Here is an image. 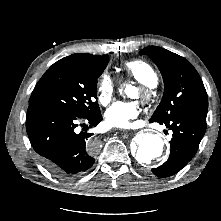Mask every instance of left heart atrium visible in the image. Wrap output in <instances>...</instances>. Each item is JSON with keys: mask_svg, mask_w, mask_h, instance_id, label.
Returning a JSON list of instances; mask_svg holds the SVG:
<instances>
[{"mask_svg": "<svg viewBox=\"0 0 221 221\" xmlns=\"http://www.w3.org/2000/svg\"><path fill=\"white\" fill-rule=\"evenodd\" d=\"M136 102L117 101L105 112V122L110 127L129 128L131 121L139 115Z\"/></svg>", "mask_w": 221, "mask_h": 221, "instance_id": "1", "label": "left heart atrium"}]
</instances>
